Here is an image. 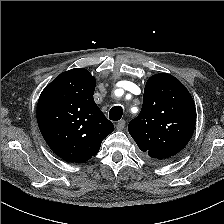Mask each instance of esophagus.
Here are the masks:
<instances>
[{
	"label": "esophagus",
	"instance_id": "1",
	"mask_svg": "<svg viewBox=\"0 0 224 224\" xmlns=\"http://www.w3.org/2000/svg\"><path fill=\"white\" fill-rule=\"evenodd\" d=\"M125 127V120H120L117 124H116V129L121 131L123 130Z\"/></svg>",
	"mask_w": 224,
	"mask_h": 224
}]
</instances>
